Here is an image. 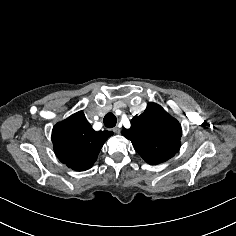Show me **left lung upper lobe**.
<instances>
[{"instance_id":"left-lung-upper-lobe-1","label":"left lung upper lobe","mask_w":236,"mask_h":236,"mask_svg":"<svg viewBox=\"0 0 236 236\" xmlns=\"http://www.w3.org/2000/svg\"><path fill=\"white\" fill-rule=\"evenodd\" d=\"M122 135L131 140L140 156L149 164L172 158L180 149V123L161 106L150 102L146 110L131 120V128Z\"/></svg>"}]
</instances>
